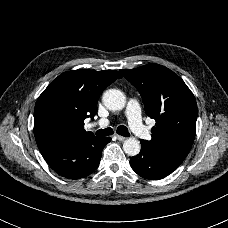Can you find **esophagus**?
Wrapping results in <instances>:
<instances>
[{"instance_id":"1","label":"esophagus","mask_w":228,"mask_h":228,"mask_svg":"<svg viewBox=\"0 0 228 228\" xmlns=\"http://www.w3.org/2000/svg\"><path fill=\"white\" fill-rule=\"evenodd\" d=\"M116 137H117V139H118L119 141H124V140L127 139L126 137H123V136H121V135H116Z\"/></svg>"}]
</instances>
